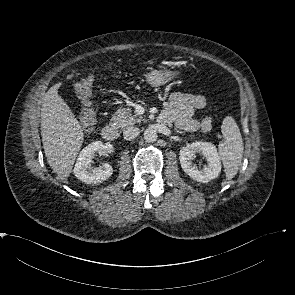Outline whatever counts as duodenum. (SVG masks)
Instances as JSON below:
<instances>
[{
	"mask_svg": "<svg viewBox=\"0 0 295 295\" xmlns=\"http://www.w3.org/2000/svg\"><path fill=\"white\" fill-rule=\"evenodd\" d=\"M101 133L103 138L108 141H114L119 136L118 127L114 123L104 126Z\"/></svg>",
	"mask_w": 295,
	"mask_h": 295,
	"instance_id": "duodenum-1",
	"label": "duodenum"
}]
</instances>
